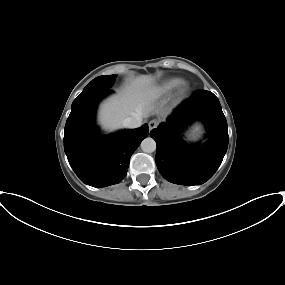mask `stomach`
Here are the masks:
<instances>
[{
    "label": "stomach",
    "mask_w": 285,
    "mask_h": 285,
    "mask_svg": "<svg viewBox=\"0 0 285 285\" xmlns=\"http://www.w3.org/2000/svg\"><path fill=\"white\" fill-rule=\"evenodd\" d=\"M199 134V127L195 126L193 127V129L190 131L189 133V138L190 139H196L198 137Z\"/></svg>",
    "instance_id": "stomach-1"
}]
</instances>
